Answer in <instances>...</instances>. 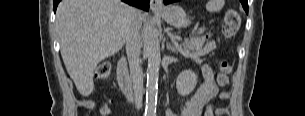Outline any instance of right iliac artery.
I'll return each mask as SVG.
<instances>
[{
    "mask_svg": "<svg viewBox=\"0 0 305 116\" xmlns=\"http://www.w3.org/2000/svg\"><path fill=\"white\" fill-rule=\"evenodd\" d=\"M144 116H151V114H148L147 112H145Z\"/></svg>",
    "mask_w": 305,
    "mask_h": 116,
    "instance_id": "obj_1",
    "label": "right iliac artery"
}]
</instances>
